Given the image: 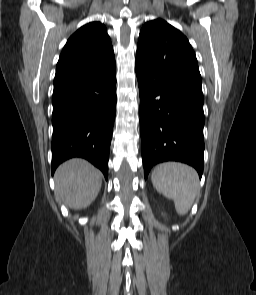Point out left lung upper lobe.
I'll list each match as a JSON object with an SVG mask.
<instances>
[{"label":"left lung upper lobe","mask_w":256,"mask_h":295,"mask_svg":"<svg viewBox=\"0 0 256 295\" xmlns=\"http://www.w3.org/2000/svg\"><path fill=\"white\" fill-rule=\"evenodd\" d=\"M136 66L162 83L203 97L201 75L189 41L164 20L155 19L143 26Z\"/></svg>","instance_id":"left-lung-upper-lobe-1"}]
</instances>
